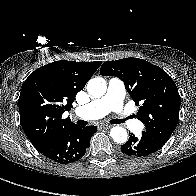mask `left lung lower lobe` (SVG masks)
I'll list each match as a JSON object with an SVG mask.
<instances>
[{
	"label": "left lung lower lobe",
	"mask_w": 196,
	"mask_h": 196,
	"mask_svg": "<svg viewBox=\"0 0 196 196\" xmlns=\"http://www.w3.org/2000/svg\"><path fill=\"white\" fill-rule=\"evenodd\" d=\"M163 147L158 140L142 132V136L135 137L130 134L129 140L121 146L123 154L132 157H145L155 153Z\"/></svg>",
	"instance_id": "0a47b994"
}]
</instances>
